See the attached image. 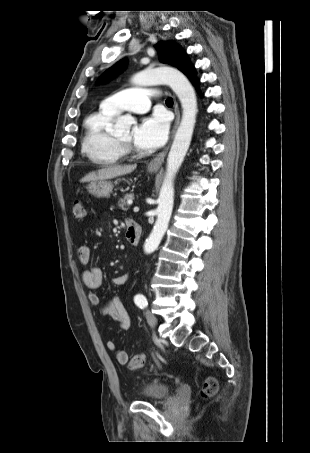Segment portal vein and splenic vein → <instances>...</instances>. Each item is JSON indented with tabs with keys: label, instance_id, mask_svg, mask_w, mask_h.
<instances>
[{
	"label": "portal vein and splenic vein",
	"instance_id": "portal-vein-and-splenic-vein-1",
	"mask_svg": "<svg viewBox=\"0 0 310 453\" xmlns=\"http://www.w3.org/2000/svg\"><path fill=\"white\" fill-rule=\"evenodd\" d=\"M128 204H132V201L129 200V201H128ZM133 210H134V212H138V211H139V208L136 206V207H134Z\"/></svg>",
	"mask_w": 310,
	"mask_h": 453
}]
</instances>
